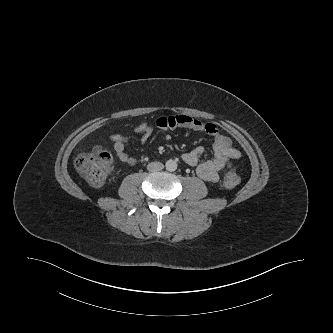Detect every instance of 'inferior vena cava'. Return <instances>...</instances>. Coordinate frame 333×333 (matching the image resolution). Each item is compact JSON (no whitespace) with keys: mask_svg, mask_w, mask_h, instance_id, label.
I'll list each match as a JSON object with an SVG mask.
<instances>
[{"mask_svg":"<svg viewBox=\"0 0 333 333\" xmlns=\"http://www.w3.org/2000/svg\"><path fill=\"white\" fill-rule=\"evenodd\" d=\"M164 168V165L161 163V162H151L148 164L147 166V169L150 171V172H157V171H160Z\"/></svg>","mask_w":333,"mask_h":333,"instance_id":"1","label":"inferior vena cava"}]
</instances>
